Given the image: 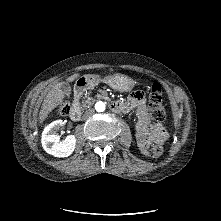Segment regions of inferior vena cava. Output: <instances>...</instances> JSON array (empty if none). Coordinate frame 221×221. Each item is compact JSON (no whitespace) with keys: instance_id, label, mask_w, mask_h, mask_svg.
Here are the masks:
<instances>
[{"instance_id":"602c4592","label":"inferior vena cava","mask_w":221,"mask_h":221,"mask_svg":"<svg viewBox=\"0 0 221 221\" xmlns=\"http://www.w3.org/2000/svg\"><path fill=\"white\" fill-rule=\"evenodd\" d=\"M93 114H94V109H88L84 112L83 117L88 118V117L92 116Z\"/></svg>"}]
</instances>
